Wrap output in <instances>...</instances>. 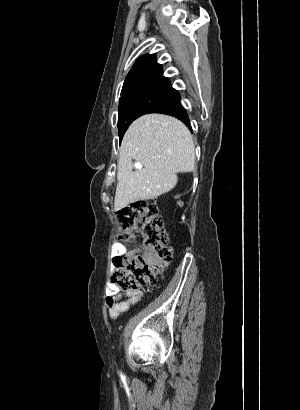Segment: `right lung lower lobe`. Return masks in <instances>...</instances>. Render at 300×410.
<instances>
[{"instance_id":"1","label":"right lung lower lobe","mask_w":300,"mask_h":410,"mask_svg":"<svg viewBox=\"0 0 300 410\" xmlns=\"http://www.w3.org/2000/svg\"><path fill=\"white\" fill-rule=\"evenodd\" d=\"M156 113H163L174 116L180 119L183 123L190 127L189 119L185 108L180 104V98L171 105L162 108Z\"/></svg>"}]
</instances>
